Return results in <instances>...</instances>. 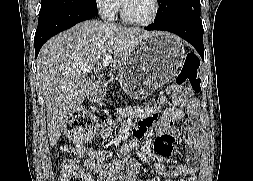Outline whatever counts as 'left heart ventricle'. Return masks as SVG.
<instances>
[{"mask_svg":"<svg viewBox=\"0 0 253 181\" xmlns=\"http://www.w3.org/2000/svg\"><path fill=\"white\" fill-rule=\"evenodd\" d=\"M128 15L135 20H145L153 11V0H123Z\"/></svg>","mask_w":253,"mask_h":181,"instance_id":"left-heart-ventricle-1","label":"left heart ventricle"}]
</instances>
